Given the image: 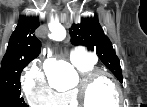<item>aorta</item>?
<instances>
[{
    "mask_svg": "<svg viewBox=\"0 0 147 107\" xmlns=\"http://www.w3.org/2000/svg\"><path fill=\"white\" fill-rule=\"evenodd\" d=\"M43 69L51 86L67 87L73 83L77 74L73 66L66 61L48 58L43 63Z\"/></svg>",
    "mask_w": 147,
    "mask_h": 107,
    "instance_id": "obj_1",
    "label": "aorta"
}]
</instances>
